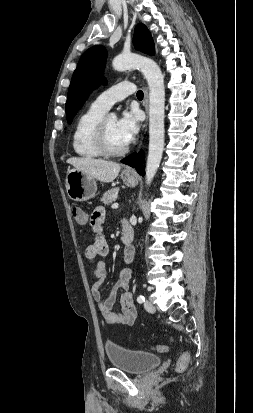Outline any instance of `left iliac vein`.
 Returning <instances> with one entry per match:
<instances>
[{
  "label": "left iliac vein",
  "instance_id": "1",
  "mask_svg": "<svg viewBox=\"0 0 253 413\" xmlns=\"http://www.w3.org/2000/svg\"><path fill=\"white\" fill-rule=\"evenodd\" d=\"M144 308L146 309V311H148L150 313L155 312V306L153 305V303L150 300L145 301Z\"/></svg>",
  "mask_w": 253,
  "mask_h": 413
}]
</instances>
